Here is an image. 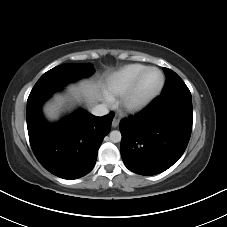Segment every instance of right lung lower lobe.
<instances>
[{
  "instance_id": "1",
  "label": "right lung lower lobe",
  "mask_w": 227,
  "mask_h": 227,
  "mask_svg": "<svg viewBox=\"0 0 227 227\" xmlns=\"http://www.w3.org/2000/svg\"><path fill=\"white\" fill-rule=\"evenodd\" d=\"M54 91L27 101L30 144L37 160L50 173L63 179H77L95 166L98 149L110 131L114 116L96 117L79 110L50 124L44 119L41 107Z\"/></svg>"
}]
</instances>
